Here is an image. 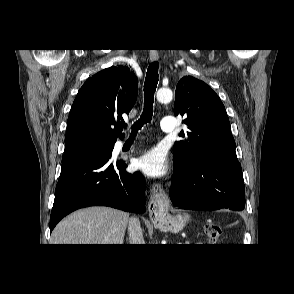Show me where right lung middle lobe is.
<instances>
[{
  "label": "right lung middle lobe",
  "instance_id": "dd1d6c3e",
  "mask_svg": "<svg viewBox=\"0 0 294 294\" xmlns=\"http://www.w3.org/2000/svg\"><path fill=\"white\" fill-rule=\"evenodd\" d=\"M114 142L79 140L65 145L63 158L86 152L112 153Z\"/></svg>",
  "mask_w": 294,
  "mask_h": 294
}]
</instances>
